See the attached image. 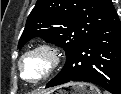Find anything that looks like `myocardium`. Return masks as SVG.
Here are the masks:
<instances>
[{"label":"myocardium","mask_w":121,"mask_h":94,"mask_svg":"<svg viewBox=\"0 0 121 94\" xmlns=\"http://www.w3.org/2000/svg\"><path fill=\"white\" fill-rule=\"evenodd\" d=\"M34 55L43 56L47 62V68L43 75L37 80L28 79L26 76L23 77V79L30 84L38 85L46 82L57 71L61 63V55L58 48L49 43H41L31 47L30 49L26 50L18 60V69L22 75H24L23 62L28 57Z\"/></svg>","instance_id":"f54148a6"}]
</instances>
